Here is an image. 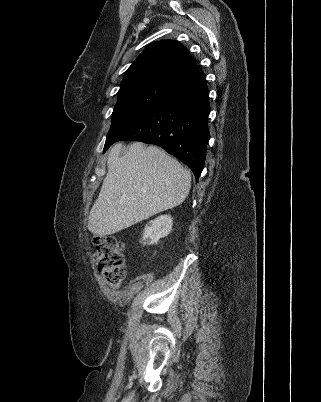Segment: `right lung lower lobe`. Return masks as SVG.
Returning <instances> with one entry per match:
<instances>
[{
	"mask_svg": "<svg viewBox=\"0 0 321 402\" xmlns=\"http://www.w3.org/2000/svg\"><path fill=\"white\" fill-rule=\"evenodd\" d=\"M209 112L206 78L197 72L172 86L161 102L105 143L104 151L120 140L156 144L188 165L198 181L210 138Z\"/></svg>",
	"mask_w": 321,
	"mask_h": 402,
	"instance_id": "1",
	"label": "right lung lower lobe"
}]
</instances>
